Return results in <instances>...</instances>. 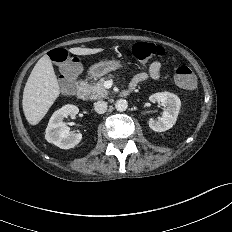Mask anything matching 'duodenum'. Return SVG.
<instances>
[{"mask_svg":"<svg viewBox=\"0 0 232 232\" xmlns=\"http://www.w3.org/2000/svg\"><path fill=\"white\" fill-rule=\"evenodd\" d=\"M129 91H124L123 94L127 95ZM76 95L79 99H85L87 96V87L85 81H80L76 89Z\"/></svg>","mask_w":232,"mask_h":232,"instance_id":"1","label":"duodenum"}]
</instances>
